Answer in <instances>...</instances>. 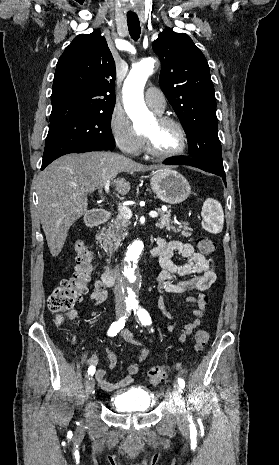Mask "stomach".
Returning <instances> with one entry per match:
<instances>
[{"instance_id": "obj_1", "label": "stomach", "mask_w": 279, "mask_h": 465, "mask_svg": "<svg viewBox=\"0 0 279 465\" xmlns=\"http://www.w3.org/2000/svg\"><path fill=\"white\" fill-rule=\"evenodd\" d=\"M150 185L157 198L167 204H179L186 200L191 193L187 179L169 167L153 173Z\"/></svg>"}]
</instances>
